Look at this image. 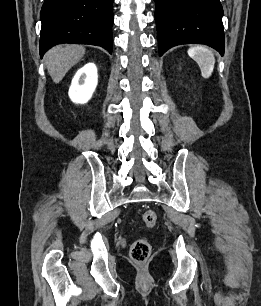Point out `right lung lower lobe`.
<instances>
[{"instance_id":"right-lung-lower-lobe-1","label":"right lung lower lobe","mask_w":261,"mask_h":306,"mask_svg":"<svg viewBox=\"0 0 261 306\" xmlns=\"http://www.w3.org/2000/svg\"><path fill=\"white\" fill-rule=\"evenodd\" d=\"M113 1L45 0L40 13V56L60 43L97 45L112 53Z\"/></svg>"}]
</instances>
